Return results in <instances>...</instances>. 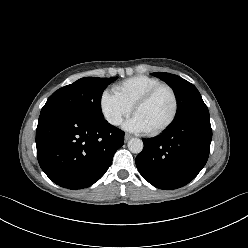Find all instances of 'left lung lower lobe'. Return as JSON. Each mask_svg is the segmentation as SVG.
Returning <instances> with one entry per match:
<instances>
[{
  "mask_svg": "<svg viewBox=\"0 0 248 248\" xmlns=\"http://www.w3.org/2000/svg\"><path fill=\"white\" fill-rule=\"evenodd\" d=\"M212 139L208 109L173 123L163 134L142 139L136 157L140 174L160 189H177L193 180L205 166Z\"/></svg>",
  "mask_w": 248,
  "mask_h": 248,
  "instance_id": "1",
  "label": "left lung lower lobe"
}]
</instances>
